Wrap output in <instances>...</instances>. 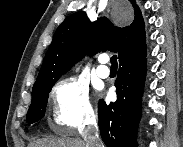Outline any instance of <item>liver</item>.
Returning <instances> with one entry per match:
<instances>
[{
    "label": "liver",
    "instance_id": "1",
    "mask_svg": "<svg viewBox=\"0 0 183 147\" xmlns=\"http://www.w3.org/2000/svg\"><path fill=\"white\" fill-rule=\"evenodd\" d=\"M29 147H86V143L76 138H44L30 143Z\"/></svg>",
    "mask_w": 183,
    "mask_h": 147
}]
</instances>
